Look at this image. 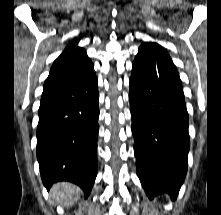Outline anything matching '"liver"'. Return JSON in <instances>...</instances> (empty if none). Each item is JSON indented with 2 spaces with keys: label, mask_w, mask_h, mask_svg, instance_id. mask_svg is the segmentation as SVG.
I'll use <instances>...</instances> for the list:
<instances>
[{
  "label": "liver",
  "mask_w": 221,
  "mask_h": 215,
  "mask_svg": "<svg viewBox=\"0 0 221 215\" xmlns=\"http://www.w3.org/2000/svg\"><path fill=\"white\" fill-rule=\"evenodd\" d=\"M80 189L69 182H59L52 186L50 196L56 204L72 206L80 197Z\"/></svg>",
  "instance_id": "6515ba94"
}]
</instances>
